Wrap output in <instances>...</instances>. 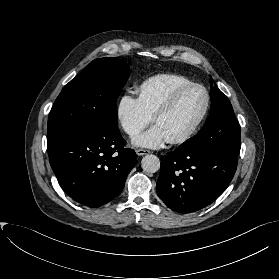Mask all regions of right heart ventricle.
<instances>
[{
  "mask_svg": "<svg viewBox=\"0 0 279 279\" xmlns=\"http://www.w3.org/2000/svg\"><path fill=\"white\" fill-rule=\"evenodd\" d=\"M190 83L191 79L180 74H156L140 83L138 98L145 112L153 117L176 89Z\"/></svg>",
  "mask_w": 279,
  "mask_h": 279,
  "instance_id": "e07e8e85",
  "label": "right heart ventricle"
}]
</instances>
